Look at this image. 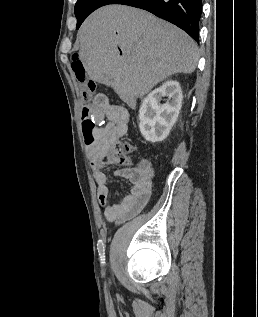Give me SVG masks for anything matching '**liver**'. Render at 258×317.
<instances>
[{"label": "liver", "mask_w": 258, "mask_h": 317, "mask_svg": "<svg viewBox=\"0 0 258 317\" xmlns=\"http://www.w3.org/2000/svg\"><path fill=\"white\" fill-rule=\"evenodd\" d=\"M78 38L87 74L123 100L144 96L174 72H193L199 58L195 40L184 30L125 4L94 10Z\"/></svg>", "instance_id": "liver-1"}]
</instances>
